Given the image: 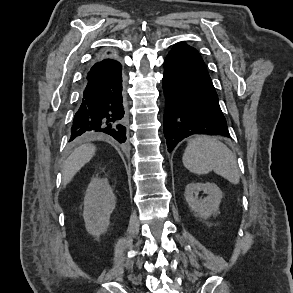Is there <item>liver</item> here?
Returning a JSON list of instances; mask_svg holds the SVG:
<instances>
[{
	"mask_svg": "<svg viewBox=\"0 0 293 293\" xmlns=\"http://www.w3.org/2000/svg\"><path fill=\"white\" fill-rule=\"evenodd\" d=\"M95 146L83 144L76 148L63 164L62 175L64 187L71 182L76 173L95 155Z\"/></svg>",
	"mask_w": 293,
	"mask_h": 293,
	"instance_id": "1",
	"label": "liver"
}]
</instances>
